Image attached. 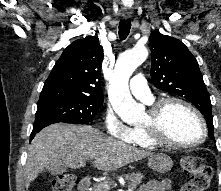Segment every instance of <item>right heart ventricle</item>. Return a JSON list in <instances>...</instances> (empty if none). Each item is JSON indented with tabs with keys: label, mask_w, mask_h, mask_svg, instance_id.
<instances>
[{
	"label": "right heart ventricle",
	"mask_w": 221,
	"mask_h": 191,
	"mask_svg": "<svg viewBox=\"0 0 221 191\" xmlns=\"http://www.w3.org/2000/svg\"><path fill=\"white\" fill-rule=\"evenodd\" d=\"M126 142L133 146L144 148V149H148V148H152L156 146L150 140L147 132L141 126L134 127L132 129L131 136Z\"/></svg>",
	"instance_id": "right-heart-ventricle-1"
}]
</instances>
